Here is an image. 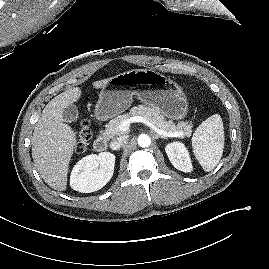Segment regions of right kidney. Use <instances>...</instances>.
<instances>
[{
	"label": "right kidney",
	"mask_w": 269,
	"mask_h": 269,
	"mask_svg": "<svg viewBox=\"0 0 269 269\" xmlns=\"http://www.w3.org/2000/svg\"><path fill=\"white\" fill-rule=\"evenodd\" d=\"M114 166L115 155L110 152L85 156L71 172V188L82 193L100 190L112 178Z\"/></svg>",
	"instance_id": "right-kidney-1"
}]
</instances>
